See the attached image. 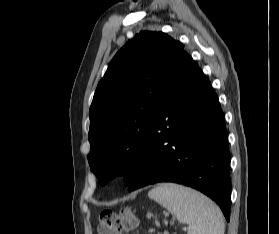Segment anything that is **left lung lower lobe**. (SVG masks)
Returning <instances> with one entry per match:
<instances>
[{"mask_svg":"<svg viewBox=\"0 0 279 234\" xmlns=\"http://www.w3.org/2000/svg\"><path fill=\"white\" fill-rule=\"evenodd\" d=\"M230 153L225 117L211 83L183 51L155 110L129 191L157 182L195 188L230 220Z\"/></svg>","mask_w":279,"mask_h":234,"instance_id":"0a47b994","label":"left lung lower lobe"}]
</instances>
